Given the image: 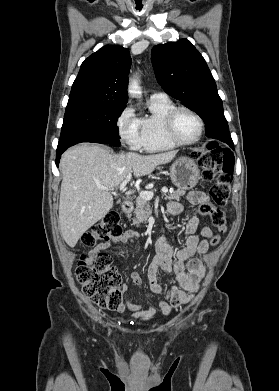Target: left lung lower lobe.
<instances>
[{
    "mask_svg": "<svg viewBox=\"0 0 279 391\" xmlns=\"http://www.w3.org/2000/svg\"><path fill=\"white\" fill-rule=\"evenodd\" d=\"M229 145H230L231 147H233V144H232V143H229Z\"/></svg>",
    "mask_w": 279,
    "mask_h": 391,
    "instance_id": "left-lung-lower-lobe-1",
    "label": "left lung lower lobe"
}]
</instances>
